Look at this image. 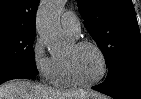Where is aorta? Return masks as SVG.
<instances>
[{
    "mask_svg": "<svg viewBox=\"0 0 141 99\" xmlns=\"http://www.w3.org/2000/svg\"><path fill=\"white\" fill-rule=\"evenodd\" d=\"M63 6L64 0H44L37 13V32L53 55L66 52L70 45L69 38L60 29L59 20Z\"/></svg>",
    "mask_w": 141,
    "mask_h": 99,
    "instance_id": "aorta-1",
    "label": "aorta"
}]
</instances>
